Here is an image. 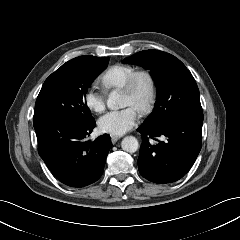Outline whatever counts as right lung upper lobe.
I'll list each match as a JSON object with an SVG mask.
<instances>
[{"label": "right lung upper lobe", "instance_id": "1", "mask_svg": "<svg viewBox=\"0 0 240 240\" xmlns=\"http://www.w3.org/2000/svg\"><path fill=\"white\" fill-rule=\"evenodd\" d=\"M98 57L91 56V55H84L74 59L69 60L65 64H63L58 70H64L67 68L75 67V66H83V65H90L97 60Z\"/></svg>", "mask_w": 240, "mask_h": 240}]
</instances>
